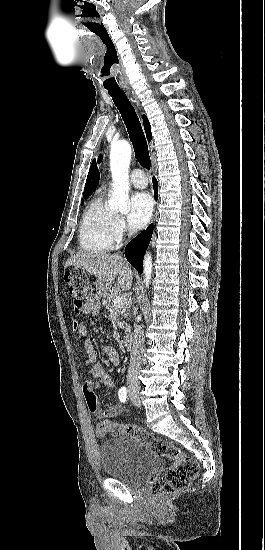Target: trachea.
I'll list each match as a JSON object with an SVG mask.
<instances>
[{"instance_id": "obj_1", "label": "trachea", "mask_w": 265, "mask_h": 550, "mask_svg": "<svg viewBox=\"0 0 265 550\" xmlns=\"http://www.w3.org/2000/svg\"><path fill=\"white\" fill-rule=\"evenodd\" d=\"M112 97L115 106L119 109L122 119L126 125L129 138L133 144L137 161L146 169H150L151 160L148 146L141 123L134 107L123 91L108 92Z\"/></svg>"}]
</instances>
